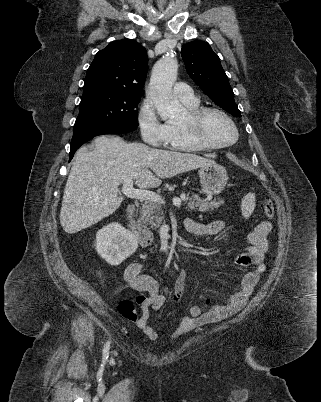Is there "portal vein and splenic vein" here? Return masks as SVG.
<instances>
[{"mask_svg":"<svg viewBox=\"0 0 321 402\" xmlns=\"http://www.w3.org/2000/svg\"><path fill=\"white\" fill-rule=\"evenodd\" d=\"M122 192L129 198L150 200L164 204V200L155 192L146 189H135L133 187V180H125L123 182ZM182 201L183 199L177 197L172 200L174 205H181Z\"/></svg>","mask_w":321,"mask_h":402,"instance_id":"obj_1","label":"portal vein and splenic vein"}]
</instances>
